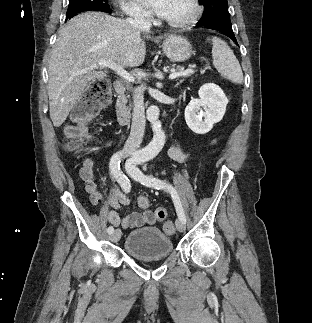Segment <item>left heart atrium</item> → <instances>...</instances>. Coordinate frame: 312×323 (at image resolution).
I'll list each match as a JSON object with an SVG mask.
<instances>
[{"label": "left heart atrium", "instance_id": "obj_1", "mask_svg": "<svg viewBox=\"0 0 312 323\" xmlns=\"http://www.w3.org/2000/svg\"><path fill=\"white\" fill-rule=\"evenodd\" d=\"M144 8H155L156 12H171V5H167L169 0H139Z\"/></svg>", "mask_w": 312, "mask_h": 323}]
</instances>
